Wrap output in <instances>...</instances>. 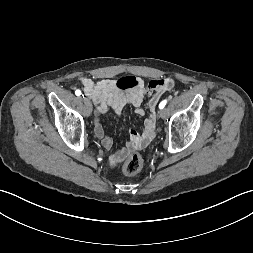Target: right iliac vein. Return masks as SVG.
Here are the masks:
<instances>
[{"mask_svg": "<svg viewBox=\"0 0 253 253\" xmlns=\"http://www.w3.org/2000/svg\"><path fill=\"white\" fill-rule=\"evenodd\" d=\"M84 103H85L86 114H87V116H90L92 113V103L87 98L84 99Z\"/></svg>", "mask_w": 253, "mask_h": 253, "instance_id": "1", "label": "right iliac vein"}]
</instances>
